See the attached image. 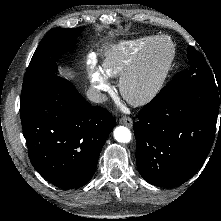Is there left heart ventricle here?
I'll return each mask as SVG.
<instances>
[{
  "label": "left heart ventricle",
  "instance_id": "obj_1",
  "mask_svg": "<svg viewBox=\"0 0 221 221\" xmlns=\"http://www.w3.org/2000/svg\"><path fill=\"white\" fill-rule=\"evenodd\" d=\"M166 46L165 45H160L153 57V60L151 62V65L148 69V72L146 74V77L144 81L142 82L141 86L146 85L156 74L157 70L159 69L160 65L162 64L165 55H166Z\"/></svg>",
  "mask_w": 221,
  "mask_h": 221
}]
</instances>
